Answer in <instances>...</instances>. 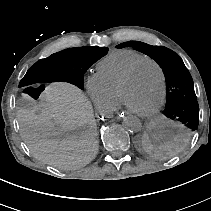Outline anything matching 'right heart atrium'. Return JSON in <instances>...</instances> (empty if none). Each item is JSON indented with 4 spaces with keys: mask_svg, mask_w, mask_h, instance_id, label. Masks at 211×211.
I'll list each match as a JSON object with an SVG mask.
<instances>
[{
    "mask_svg": "<svg viewBox=\"0 0 211 211\" xmlns=\"http://www.w3.org/2000/svg\"><path fill=\"white\" fill-rule=\"evenodd\" d=\"M86 87L98 111L106 112L113 107L111 94L96 75L88 78Z\"/></svg>",
    "mask_w": 211,
    "mask_h": 211,
    "instance_id": "d8ad5b80",
    "label": "right heart atrium"
}]
</instances>
